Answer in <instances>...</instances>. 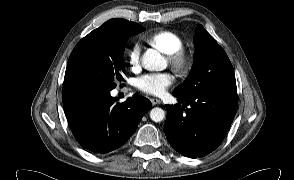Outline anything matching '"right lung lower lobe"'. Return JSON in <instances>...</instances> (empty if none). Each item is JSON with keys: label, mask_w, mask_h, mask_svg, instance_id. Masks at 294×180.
I'll use <instances>...</instances> for the list:
<instances>
[{"label": "right lung lower lobe", "mask_w": 294, "mask_h": 180, "mask_svg": "<svg viewBox=\"0 0 294 180\" xmlns=\"http://www.w3.org/2000/svg\"><path fill=\"white\" fill-rule=\"evenodd\" d=\"M109 89L82 87L63 91V107L76 140L96 153L113 151L131 137L151 102L133 95L117 102Z\"/></svg>", "instance_id": "98d812e1"}]
</instances>
